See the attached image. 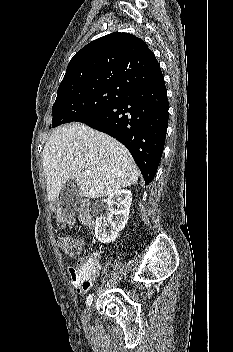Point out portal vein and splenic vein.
<instances>
[{
  "label": "portal vein and splenic vein",
  "mask_w": 233,
  "mask_h": 352,
  "mask_svg": "<svg viewBox=\"0 0 233 352\" xmlns=\"http://www.w3.org/2000/svg\"><path fill=\"white\" fill-rule=\"evenodd\" d=\"M86 173L89 175V174H91V171H90V170H87Z\"/></svg>",
  "instance_id": "portal-vein-and-splenic-vein-1"
}]
</instances>
